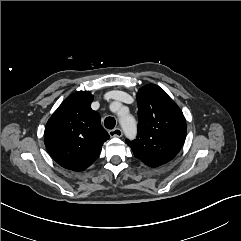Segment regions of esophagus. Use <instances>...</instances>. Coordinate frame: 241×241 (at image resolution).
Segmentation results:
<instances>
[{
  "label": "esophagus",
  "mask_w": 241,
  "mask_h": 241,
  "mask_svg": "<svg viewBox=\"0 0 241 241\" xmlns=\"http://www.w3.org/2000/svg\"><path fill=\"white\" fill-rule=\"evenodd\" d=\"M109 135L111 137H121L123 135V131L120 128H115L109 131Z\"/></svg>",
  "instance_id": "obj_1"
}]
</instances>
